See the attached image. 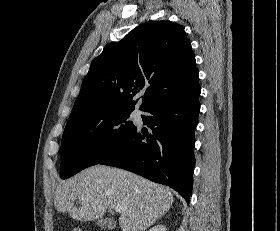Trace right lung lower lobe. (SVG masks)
<instances>
[{
	"label": "right lung lower lobe",
	"mask_w": 280,
	"mask_h": 231,
	"mask_svg": "<svg viewBox=\"0 0 280 231\" xmlns=\"http://www.w3.org/2000/svg\"><path fill=\"white\" fill-rule=\"evenodd\" d=\"M200 87L169 97L145 112L153 134L136 129L99 164L123 168L168 185L189 204L193 186L194 131L200 111Z\"/></svg>",
	"instance_id": "98d812e1"
}]
</instances>
